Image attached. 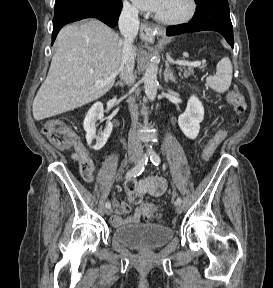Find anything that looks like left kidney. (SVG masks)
I'll use <instances>...</instances> for the list:
<instances>
[{
	"instance_id": "obj_1",
	"label": "left kidney",
	"mask_w": 273,
	"mask_h": 288,
	"mask_svg": "<svg viewBox=\"0 0 273 288\" xmlns=\"http://www.w3.org/2000/svg\"><path fill=\"white\" fill-rule=\"evenodd\" d=\"M204 119V107L201 101L192 95L188 102L186 110L178 117V124L182 132L189 139H195L200 130V123Z\"/></svg>"
}]
</instances>
